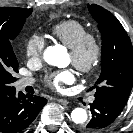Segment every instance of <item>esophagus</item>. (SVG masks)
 <instances>
[{
  "instance_id": "1",
  "label": "esophagus",
  "mask_w": 133,
  "mask_h": 133,
  "mask_svg": "<svg viewBox=\"0 0 133 133\" xmlns=\"http://www.w3.org/2000/svg\"><path fill=\"white\" fill-rule=\"evenodd\" d=\"M57 101L59 103H61L62 105H68L69 104V101L66 99L59 98V99H57Z\"/></svg>"
}]
</instances>
